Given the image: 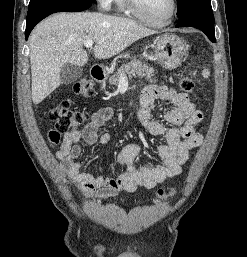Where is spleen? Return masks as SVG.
<instances>
[{"label": "spleen", "mask_w": 247, "mask_h": 257, "mask_svg": "<svg viewBox=\"0 0 247 257\" xmlns=\"http://www.w3.org/2000/svg\"><path fill=\"white\" fill-rule=\"evenodd\" d=\"M209 74H210V72L208 70H204L202 72V75H203L204 78H207L209 76Z\"/></svg>", "instance_id": "3e777b00"}]
</instances>
